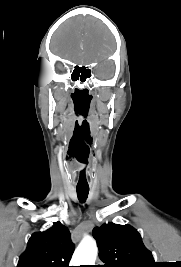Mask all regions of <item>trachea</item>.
<instances>
[{"label":"trachea","mask_w":181,"mask_h":267,"mask_svg":"<svg viewBox=\"0 0 181 267\" xmlns=\"http://www.w3.org/2000/svg\"><path fill=\"white\" fill-rule=\"evenodd\" d=\"M77 196L80 202H85L88 197L89 187H76Z\"/></svg>","instance_id":"1"}]
</instances>
